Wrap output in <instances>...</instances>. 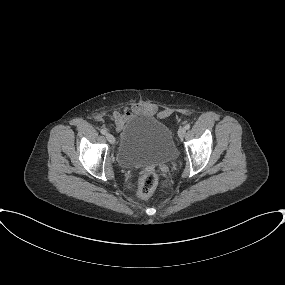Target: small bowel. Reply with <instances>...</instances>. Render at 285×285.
<instances>
[{
	"label": "small bowel",
	"mask_w": 285,
	"mask_h": 285,
	"mask_svg": "<svg viewBox=\"0 0 285 285\" xmlns=\"http://www.w3.org/2000/svg\"><path fill=\"white\" fill-rule=\"evenodd\" d=\"M144 111L146 113H154L155 106L149 103L136 104L131 107H125L122 110L115 111L112 114V119L118 130L123 129L126 121L132 116L133 113Z\"/></svg>",
	"instance_id": "small-bowel-1"
}]
</instances>
